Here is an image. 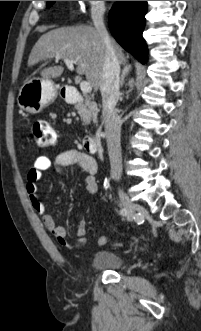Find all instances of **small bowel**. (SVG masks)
I'll list each match as a JSON object with an SVG mask.
<instances>
[{
    "label": "small bowel",
    "mask_w": 201,
    "mask_h": 331,
    "mask_svg": "<svg viewBox=\"0 0 201 331\" xmlns=\"http://www.w3.org/2000/svg\"><path fill=\"white\" fill-rule=\"evenodd\" d=\"M71 166H78L86 173L85 183L87 191L89 195H94L98 190V185L95 179L98 170L97 163L94 158L76 149L64 151L53 159H50L47 156H38L27 172L26 191L33 209L42 217L44 227L54 235L56 240L62 246L72 251H79L85 244V220L82 218L78 223L76 229V243H68L66 240V229L55 223L54 218L46 212V207L38 195V181L46 170L53 169L56 174L64 176L66 169ZM97 242L99 245H103L106 242V238L100 236Z\"/></svg>",
    "instance_id": "obj_1"
}]
</instances>
